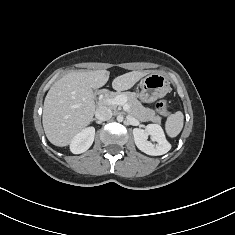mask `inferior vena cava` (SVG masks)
I'll return each instance as SVG.
<instances>
[{
  "instance_id": "obj_1",
  "label": "inferior vena cava",
  "mask_w": 235,
  "mask_h": 235,
  "mask_svg": "<svg viewBox=\"0 0 235 235\" xmlns=\"http://www.w3.org/2000/svg\"><path fill=\"white\" fill-rule=\"evenodd\" d=\"M95 117L100 121L109 120L112 117V111L106 106H100L95 111Z\"/></svg>"
}]
</instances>
